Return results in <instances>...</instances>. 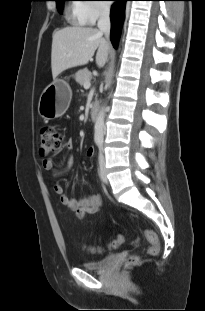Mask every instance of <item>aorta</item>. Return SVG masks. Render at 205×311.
I'll return each instance as SVG.
<instances>
[{"instance_id": "obj_1", "label": "aorta", "mask_w": 205, "mask_h": 311, "mask_svg": "<svg viewBox=\"0 0 205 311\" xmlns=\"http://www.w3.org/2000/svg\"><path fill=\"white\" fill-rule=\"evenodd\" d=\"M104 119H105V108L102 107L101 110L99 111L96 121H95V126H94V140L96 142H103L104 138Z\"/></svg>"}]
</instances>
